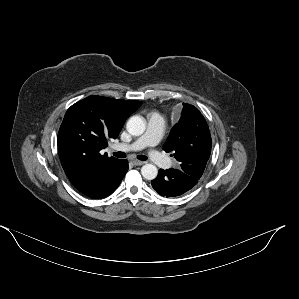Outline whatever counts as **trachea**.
<instances>
[{"instance_id":"obj_1","label":"trachea","mask_w":299,"mask_h":299,"mask_svg":"<svg viewBox=\"0 0 299 299\" xmlns=\"http://www.w3.org/2000/svg\"><path fill=\"white\" fill-rule=\"evenodd\" d=\"M114 156L118 157V158H125L126 157V154L124 152H115L113 153ZM137 158L139 160H142V161H146L148 158L144 155H138Z\"/></svg>"}]
</instances>
